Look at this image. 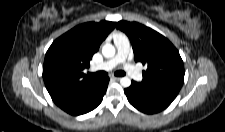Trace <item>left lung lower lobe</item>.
<instances>
[{
  "instance_id": "obj_1",
  "label": "left lung lower lobe",
  "mask_w": 225,
  "mask_h": 132,
  "mask_svg": "<svg viewBox=\"0 0 225 132\" xmlns=\"http://www.w3.org/2000/svg\"><path fill=\"white\" fill-rule=\"evenodd\" d=\"M128 101L139 111L154 114L167 108L176 98L179 91L146 85L132 81L129 88L124 90Z\"/></svg>"
}]
</instances>
